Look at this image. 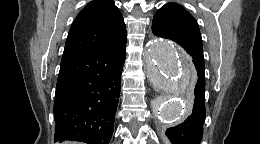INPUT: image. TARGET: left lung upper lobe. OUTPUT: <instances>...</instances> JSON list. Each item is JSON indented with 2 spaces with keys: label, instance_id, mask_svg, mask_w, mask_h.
<instances>
[{
  "label": "left lung upper lobe",
  "instance_id": "5c2ea615",
  "mask_svg": "<svg viewBox=\"0 0 260 144\" xmlns=\"http://www.w3.org/2000/svg\"><path fill=\"white\" fill-rule=\"evenodd\" d=\"M154 35L173 40L180 46L203 51L202 38L197 21L181 5L167 3L155 14L152 22ZM198 75H204V57L193 61Z\"/></svg>",
  "mask_w": 260,
  "mask_h": 144
}]
</instances>
